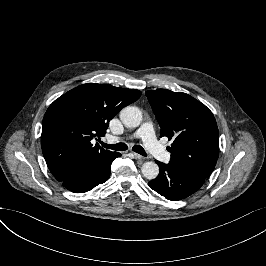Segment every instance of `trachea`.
<instances>
[{
	"mask_svg": "<svg viewBox=\"0 0 266 266\" xmlns=\"http://www.w3.org/2000/svg\"><path fill=\"white\" fill-rule=\"evenodd\" d=\"M101 145L105 148H109L112 150H117V151H125L128 149V147L126 146V144L124 143H118V144H106L104 142H101ZM132 150L140 155L143 156H147L146 151L144 150V148H142V146L136 145L132 148Z\"/></svg>",
	"mask_w": 266,
	"mask_h": 266,
	"instance_id": "3493384b",
	"label": "trachea"
}]
</instances>
